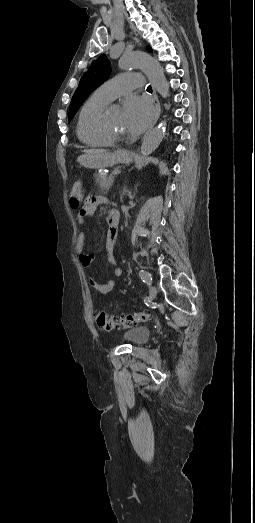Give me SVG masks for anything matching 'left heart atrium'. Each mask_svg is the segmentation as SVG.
Returning a JSON list of instances; mask_svg holds the SVG:
<instances>
[{
	"mask_svg": "<svg viewBox=\"0 0 255 523\" xmlns=\"http://www.w3.org/2000/svg\"><path fill=\"white\" fill-rule=\"evenodd\" d=\"M124 113L132 134H138L150 122L153 106L145 97L131 96L125 102Z\"/></svg>",
	"mask_w": 255,
	"mask_h": 523,
	"instance_id": "39dd6f15",
	"label": "left heart atrium"
}]
</instances>
